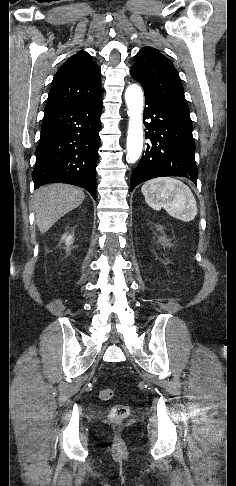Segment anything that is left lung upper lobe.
Returning <instances> with one entry per match:
<instances>
[{"mask_svg":"<svg viewBox=\"0 0 236 486\" xmlns=\"http://www.w3.org/2000/svg\"><path fill=\"white\" fill-rule=\"evenodd\" d=\"M131 76L141 83L144 91L180 113L190 115L181 79L173 63L159 50L143 47L136 54Z\"/></svg>","mask_w":236,"mask_h":486,"instance_id":"left-lung-upper-lobe-1","label":"left lung upper lobe"}]
</instances>
